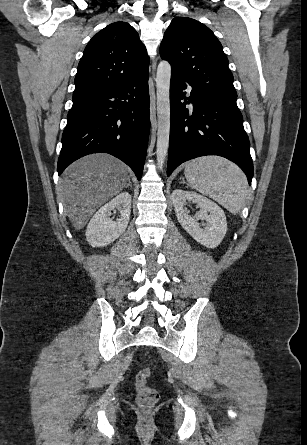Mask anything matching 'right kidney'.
Listing matches in <instances>:
<instances>
[{
    "mask_svg": "<svg viewBox=\"0 0 307 445\" xmlns=\"http://www.w3.org/2000/svg\"><path fill=\"white\" fill-rule=\"evenodd\" d=\"M119 208L120 218L113 220L110 218L111 210ZM131 210V194L120 192L110 202L101 206L96 214L92 216L86 231V241L91 247H106L116 241L129 223Z\"/></svg>",
    "mask_w": 307,
    "mask_h": 445,
    "instance_id": "1",
    "label": "right kidney"
}]
</instances>
